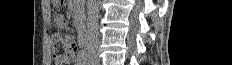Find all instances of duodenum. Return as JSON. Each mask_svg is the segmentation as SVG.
Returning a JSON list of instances; mask_svg holds the SVG:
<instances>
[{
	"label": "duodenum",
	"mask_w": 232,
	"mask_h": 65,
	"mask_svg": "<svg viewBox=\"0 0 232 65\" xmlns=\"http://www.w3.org/2000/svg\"><path fill=\"white\" fill-rule=\"evenodd\" d=\"M79 44L83 49H86L88 44L87 33L85 30H81L79 34Z\"/></svg>",
	"instance_id": "1"
}]
</instances>
